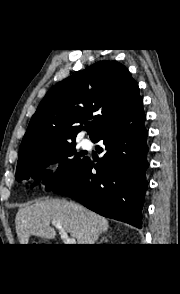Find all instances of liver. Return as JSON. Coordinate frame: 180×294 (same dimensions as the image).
I'll return each instance as SVG.
<instances>
[{"label": "liver", "instance_id": "6515ba94", "mask_svg": "<svg viewBox=\"0 0 180 294\" xmlns=\"http://www.w3.org/2000/svg\"><path fill=\"white\" fill-rule=\"evenodd\" d=\"M53 221L61 223L79 245L94 244L109 228L107 219L79 204L64 199L42 200L18 210L15 226L20 244H28L32 235L53 239Z\"/></svg>", "mask_w": 180, "mask_h": 294}]
</instances>
